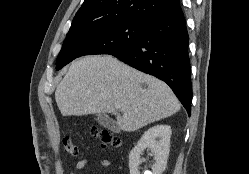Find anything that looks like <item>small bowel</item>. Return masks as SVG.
<instances>
[{
    "label": "small bowel",
    "instance_id": "1",
    "mask_svg": "<svg viewBox=\"0 0 249 174\" xmlns=\"http://www.w3.org/2000/svg\"><path fill=\"white\" fill-rule=\"evenodd\" d=\"M88 163V159L83 158L79 160L75 166L72 168L70 174H78ZM100 166L103 168H110L111 167V162L107 159L101 160L100 161Z\"/></svg>",
    "mask_w": 249,
    "mask_h": 174
}]
</instances>
